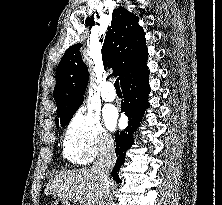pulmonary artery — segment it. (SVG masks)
<instances>
[{"instance_id":"e3ab8cb5","label":"pulmonary artery","mask_w":222,"mask_h":205,"mask_svg":"<svg viewBox=\"0 0 222 205\" xmlns=\"http://www.w3.org/2000/svg\"><path fill=\"white\" fill-rule=\"evenodd\" d=\"M101 97L104 101L112 102L116 99V92L111 82L104 84L101 90Z\"/></svg>"}]
</instances>
